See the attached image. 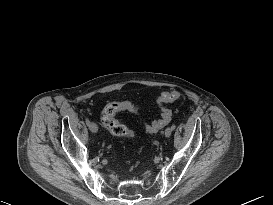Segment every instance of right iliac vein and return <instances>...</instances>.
<instances>
[{"label":"right iliac vein","mask_w":273,"mask_h":205,"mask_svg":"<svg viewBox=\"0 0 273 205\" xmlns=\"http://www.w3.org/2000/svg\"><path fill=\"white\" fill-rule=\"evenodd\" d=\"M89 130L92 132V133H96L98 131V127L95 123L93 122H90L89 125Z\"/></svg>","instance_id":"1"}]
</instances>
